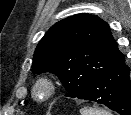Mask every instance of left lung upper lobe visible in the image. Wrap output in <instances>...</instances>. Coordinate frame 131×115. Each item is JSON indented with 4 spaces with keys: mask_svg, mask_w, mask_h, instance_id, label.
<instances>
[{
    "mask_svg": "<svg viewBox=\"0 0 131 115\" xmlns=\"http://www.w3.org/2000/svg\"><path fill=\"white\" fill-rule=\"evenodd\" d=\"M124 58L108 24L97 16L78 14L53 25L33 56L34 73L51 72L76 98L97 76Z\"/></svg>",
    "mask_w": 131,
    "mask_h": 115,
    "instance_id": "left-lung-upper-lobe-1",
    "label": "left lung upper lobe"
}]
</instances>
